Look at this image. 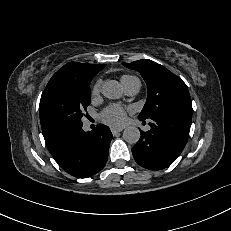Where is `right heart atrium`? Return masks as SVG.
I'll return each instance as SVG.
<instances>
[{
  "mask_svg": "<svg viewBox=\"0 0 231 231\" xmlns=\"http://www.w3.org/2000/svg\"><path fill=\"white\" fill-rule=\"evenodd\" d=\"M101 86H102V82L101 80H97L91 90L92 96H97L99 95L100 91H101Z\"/></svg>",
  "mask_w": 231,
  "mask_h": 231,
  "instance_id": "d8ad5b80",
  "label": "right heart atrium"
}]
</instances>
